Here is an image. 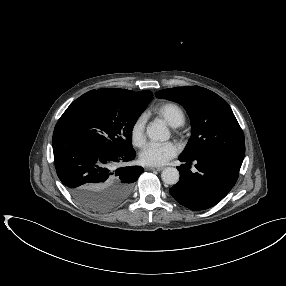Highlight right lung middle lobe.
<instances>
[{"label": "right lung middle lobe", "instance_id": "1", "mask_svg": "<svg viewBox=\"0 0 286 286\" xmlns=\"http://www.w3.org/2000/svg\"><path fill=\"white\" fill-rule=\"evenodd\" d=\"M151 99L131 98L109 89L91 90L75 100L58 123L110 152L132 150V130ZM93 210L104 208L88 206Z\"/></svg>", "mask_w": 286, "mask_h": 286}]
</instances>
